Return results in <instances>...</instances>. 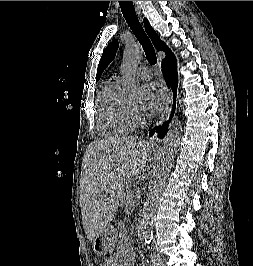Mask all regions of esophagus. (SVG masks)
Wrapping results in <instances>:
<instances>
[{
    "label": "esophagus",
    "mask_w": 253,
    "mask_h": 266,
    "mask_svg": "<svg viewBox=\"0 0 253 266\" xmlns=\"http://www.w3.org/2000/svg\"><path fill=\"white\" fill-rule=\"evenodd\" d=\"M135 9L137 13L140 15L141 14V9L137 1H133ZM171 105H172V93L169 89H167V101H166V106L165 109L160 117L159 123H163V121L168 117L170 110H171Z\"/></svg>",
    "instance_id": "1"
}]
</instances>
